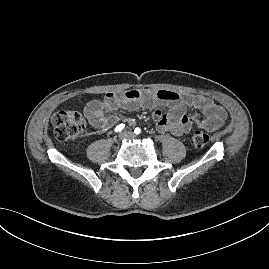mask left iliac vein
Instances as JSON below:
<instances>
[{
	"instance_id": "1",
	"label": "left iliac vein",
	"mask_w": 269,
	"mask_h": 269,
	"mask_svg": "<svg viewBox=\"0 0 269 269\" xmlns=\"http://www.w3.org/2000/svg\"><path fill=\"white\" fill-rule=\"evenodd\" d=\"M122 134L126 138H135L136 137L135 134L133 132H131V131L123 132Z\"/></svg>"
}]
</instances>
